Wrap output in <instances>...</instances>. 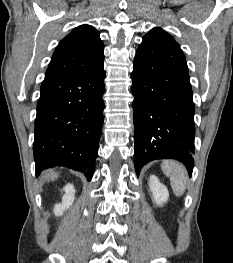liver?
<instances>
[{
    "instance_id": "liver-1",
    "label": "liver",
    "mask_w": 233,
    "mask_h": 263,
    "mask_svg": "<svg viewBox=\"0 0 233 263\" xmlns=\"http://www.w3.org/2000/svg\"><path fill=\"white\" fill-rule=\"evenodd\" d=\"M58 178V173L54 171H49L43 177L44 180L53 181Z\"/></svg>"
}]
</instances>
